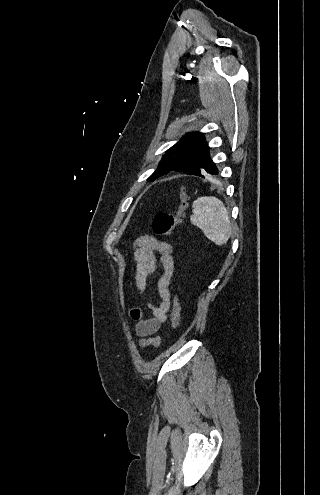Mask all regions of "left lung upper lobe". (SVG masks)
<instances>
[{
  "mask_svg": "<svg viewBox=\"0 0 320 495\" xmlns=\"http://www.w3.org/2000/svg\"><path fill=\"white\" fill-rule=\"evenodd\" d=\"M209 154L205 137L200 132L186 134L180 141L166 151L159 167L148 178L153 181L169 172H186L198 165Z\"/></svg>",
  "mask_w": 320,
  "mask_h": 495,
  "instance_id": "1",
  "label": "left lung upper lobe"
}]
</instances>
